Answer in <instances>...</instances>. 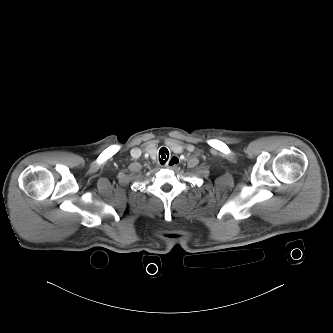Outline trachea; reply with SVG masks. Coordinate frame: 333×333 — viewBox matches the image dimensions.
Returning <instances> with one entry per match:
<instances>
[{
  "mask_svg": "<svg viewBox=\"0 0 333 333\" xmlns=\"http://www.w3.org/2000/svg\"><path fill=\"white\" fill-rule=\"evenodd\" d=\"M169 157V151L167 148L162 147L159 150V161L161 165H164L166 163V161L168 160Z\"/></svg>",
  "mask_w": 333,
  "mask_h": 333,
  "instance_id": "trachea-1",
  "label": "trachea"
}]
</instances>
